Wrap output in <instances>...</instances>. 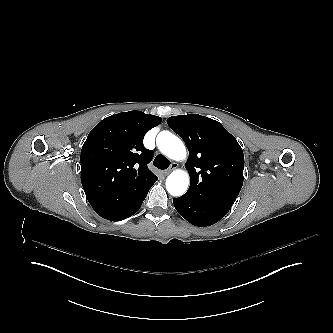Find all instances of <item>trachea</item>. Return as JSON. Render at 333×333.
Here are the masks:
<instances>
[{
  "label": "trachea",
  "mask_w": 333,
  "mask_h": 333,
  "mask_svg": "<svg viewBox=\"0 0 333 333\" xmlns=\"http://www.w3.org/2000/svg\"><path fill=\"white\" fill-rule=\"evenodd\" d=\"M153 164L157 168L164 170V169H167L169 167L170 161L166 157H164L162 155H158L154 159Z\"/></svg>",
  "instance_id": "1"
}]
</instances>
